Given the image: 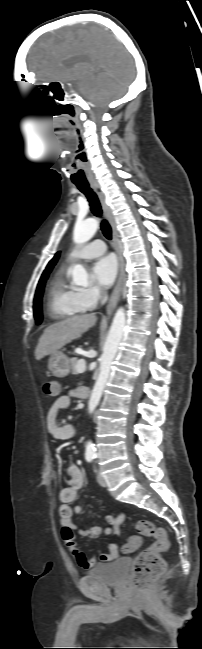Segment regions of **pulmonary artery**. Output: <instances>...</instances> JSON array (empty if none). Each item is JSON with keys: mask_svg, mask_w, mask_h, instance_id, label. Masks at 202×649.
Returning <instances> with one entry per match:
<instances>
[{"mask_svg": "<svg viewBox=\"0 0 202 649\" xmlns=\"http://www.w3.org/2000/svg\"><path fill=\"white\" fill-rule=\"evenodd\" d=\"M106 251V246L102 240H95L89 244L81 247L74 248L68 255L69 261L77 259L93 258L103 254Z\"/></svg>", "mask_w": 202, "mask_h": 649, "instance_id": "e3ab8cb5", "label": "pulmonary artery"}]
</instances>
